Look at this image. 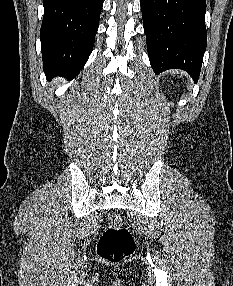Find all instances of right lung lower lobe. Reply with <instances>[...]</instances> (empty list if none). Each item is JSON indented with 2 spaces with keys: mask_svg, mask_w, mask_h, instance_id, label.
<instances>
[{
  "mask_svg": "<svg viewBox=\"0 0 233 286\" xmlns=\"http://www.w3.org/2000/svg\"><path fill=\"white\" fill-rule=\"evenodd\" d=\"M40 31L43 69L54 76L75 77L94 45L103 0H43Z\"/></svg>",
  "mask_w": 233,
  "mask_h": 286,
  "instance_id": "right-lung-lower-lobe-1",
  "label": "right lung lower lobe"
}]
</instances>
